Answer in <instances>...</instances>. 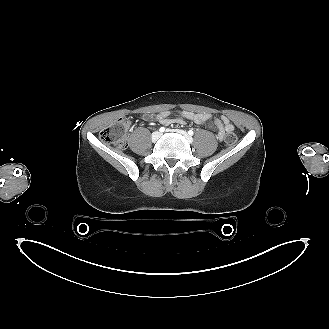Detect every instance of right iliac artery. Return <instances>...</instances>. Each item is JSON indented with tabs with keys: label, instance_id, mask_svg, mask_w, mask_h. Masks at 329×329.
Returning <instances> with one entry per match:
<instances>
[{
	"label": "right iliac artery",
	"instance_id": "right-iliac-artery-1",
	"mask_svg": "<svg viewBox=\"0 0 329 329\" xmlns=\"http://www.w3.org/2000/svg\"><path fill=\"white\" fill-rule=\"evenodd\" d=\"M159 131L160 132H164L165 131V128L164 127H160Z\"/></svg>",
	"mask_w": 329,
	"mask_h": 329
}]
</instances>
